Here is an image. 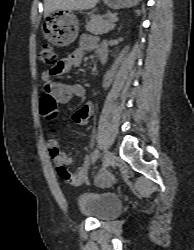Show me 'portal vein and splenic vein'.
I'll return each mask as SVG.
<instances>
[{
  "mask_svg": "<svg viewBox=\"0 0 194 250\" xmlns=\"http://www.w3.org/2000/svg\"><path fill=\"white\" fill-rule=\"evenodd\" d=\"M112 22H116L118 21V18L116 16H114L112 19H111Z\"/></svg>",
  "mask_w": 194,
  "mask_h": 250,
  "instance_id": "1",
  "label": "portal vein and splenic vein"
}]
</instances>
